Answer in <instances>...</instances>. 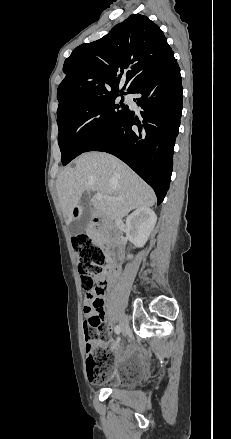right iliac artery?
Returning a JSON list of instances; mask_svg holds the SVG:
<instances>
[{"label": "right iliac artery", "instance_id": "1", "mask_svg": "<svg viewBox=\"0 0 231 439\" xmlns=\"http://www.w3.org/2000/svg\"><path fill=\"white\" fill-rule=\"evenodd\" d=\"M120 332H121L120 326L117 325V326L115 327V333H116V334H119Z\"/></svg>", "mask_w": 231, "mask_h": 439}]
</instances>
